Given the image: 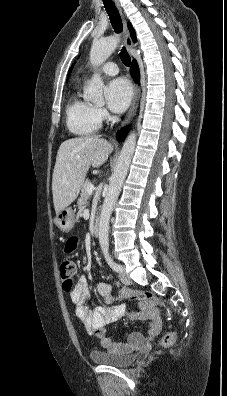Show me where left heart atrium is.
<instances>
[{
    "mask_svg": "<svg viewBox=\"0 0 227 396\" xmlns=\"http://www.w3.org/2000/svg\"><path fill=\"white\" fill-rule=\"evenodd\" d=\"M132 87L124 78H116L109 82L105 90L108 107L114 112H123L131 102Z\"/></svg>",
    "mask_w": 227,
    "mask_h": 396,
    "instance_id": "39dd6f15",
    "label": "left heart atrium"
}]
</instances>
